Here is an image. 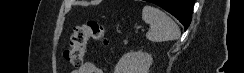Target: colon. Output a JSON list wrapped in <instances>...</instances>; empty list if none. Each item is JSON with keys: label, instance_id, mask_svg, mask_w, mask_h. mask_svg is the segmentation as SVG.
I'll use <instances>...</instances> for the list:
<instances>
[{"label": "colon", "instance_id": "obj_1", "mask_svg": "<svg viewBox=\"0 0 244 73\" xmlns=\"http://www.w3.org/2000/svg\"><path fill=\"white\" fill-rule=\"evenodd\" d=\"M105 27L96 20H87L73 29L69 48L65 51L64 57L67 62L75 67L83 65L87 53L88 43L93 41H105Z\"/></svg>", "mask_w": 244, "mask_h": 73}]
</instances>
